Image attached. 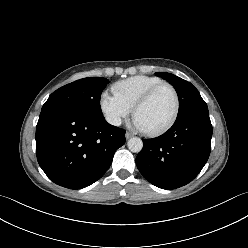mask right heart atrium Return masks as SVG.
I'll return each mask as SVG.
<instances>
[{
  "mask_svg": "<svg viewBox=\"0 0 248 248\" xmlns=\"http://www.w3.org/2000/svg\"><path fill=\"white\" fill-rule=\"evenodd\" d=\"M100 108L106 120L115 126L120 125L122 120L131 112L129 106H127L117 96L111 95L106 91L101 94Z\"/></svg>",
  "mask_w": 248,
  "mask_h": 248,
  "instance_id": "obj_1",
  "label": "right heart atrium"
}]
</instances>
